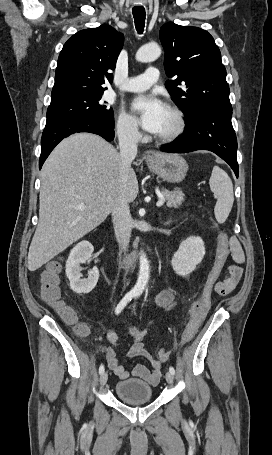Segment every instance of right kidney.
<instances>
[{"mask_svg":"<svg viewBox=\"0 0 272 455\" xmlns=\"http://www.w3.org/2000/svg\"><path fill=\"white\" fill-rule=\"evenodd\" d=\"M93 245L89 241L79 242L69 254L66 261V275L70 280L71 289L78 294H86L93 290L99 278V270L93 267L88 272V278L81 279L80 264L86 263L92 257Z\"/></svg>","mask_w":272,"mask_h":455,"instance_id":"1","label":"right kidney"}]
</instances>
